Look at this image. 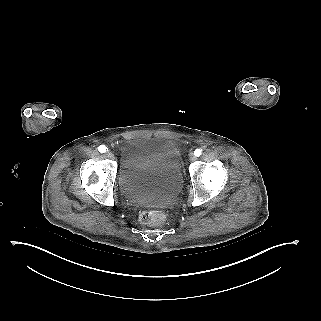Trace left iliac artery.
I'll return each instance as SVG.
<instances>
[{
  "label": "left iliac artery",
  "mask_w": 321,
  "mask_h": 321,
  "mask_svg": "<svg viewBox=\"0 0 321 321\" xmlns=\"http://www.w3.org/2000/svg\"><path fill=\"white\" fill-rule=\"evenodd\" d=\"M194 154H195V156H200L201 154H202V150L201 149H196L195 151H194Z\"/></svg>",
  "instance_id": "obj_1"
}]
</instances>
